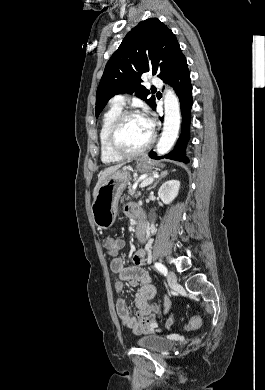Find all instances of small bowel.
Instances as JSON below:
<instances>
[{
	"mask_svg": "<svg viewBox=\"0 0 265 390\" xmlns=\"http://www.w3.org/2000/svg\"><path fill=\"white\" fill-rule=\"evenodd\" d=\"M125 214L131 219L142 217V209L134 204H127ZM145 237V236H144ZM144 239V238H143ZM117 251L124 247L123 240H115ZM147 260V252L144 249L138 250L133 257V265L125 266L124 259L121 256H115L110 262V269L113 273L119 276L114 284L115 291L121 294L125 289V281L132 287H137L134 304L136 307V315H132L127 307L123 297H119L116 301V312L118 318L127 328L135 333H150L156 332L159 329L158 317L153 314L154 309L150 304L156 294V288L151 282L149 273L143 268ZM165 314H168L170 301L164 298ZM173 317L169 316L166 325L171 326Z\"/></svg>",
	"mask_w": 265,
	"mask_h": 390,
	"instance_id": "obj_1",
	"label": "small bowel"
}]
</instances>
